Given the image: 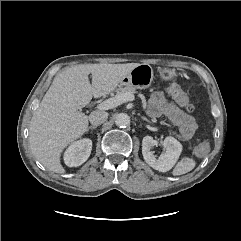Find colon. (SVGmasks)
Instances as JSON below:
<instances>
[{
  "label": "colon",
  "instance_id": "obj_1",
  "mask_svg": "<svg viewBox=\"0 0 241 241\" xmlns=\"http://www.w3.org/2000/svg\"><path fill=\"white\" fill-rule=\"evenodd\" d=\"M167 94L174 99V101L184 107L188 111L193 110V105L189 102L187 94L177 84H171L167 88ZM209 144L201 142L195 147V154L199 157H204L209 152Z\"/></svg>",
  "mask_w": 241,
  "mask_h": 241
}]
</instances>
